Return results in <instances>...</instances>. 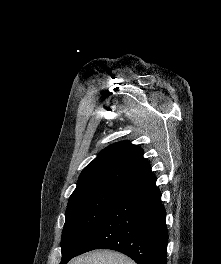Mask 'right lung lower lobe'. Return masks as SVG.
Returning a JSON list of instances; mask_svg holds the SVG:
<instances>
[{
    "instance_id": "right-lung-lower-lobe-1",
    "label": "right lung lower lobe",
    "mask_w": 221,
    "mask_h": 264,
    "mask_svg": "<svg viewBox=\"0 0 221 264\" xmlns=\"http://www.w3.org/2000/svg\"><path fill=\"white\" fill-rule=\"evenodd\" d=\"M166 212L152 174L126 187L102 221L72 257L94 249H112L137 264H166Z\"/></svg>"
}]
</instances>
